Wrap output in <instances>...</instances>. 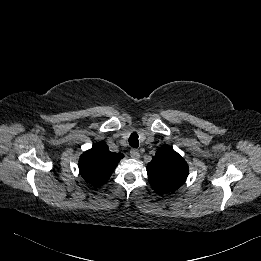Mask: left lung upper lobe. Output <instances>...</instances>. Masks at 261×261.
<instances>
[{"instance_id":"left-lung-upper-lobe-1","label":"left lung upper lobe","mask_w":261,"mask_h":261,"mask_svg":"<svg viewBox=\"0 0 261 261\" xmlns=\"http://www.w3.org/2000/svg\"><path fill=\"white\" fill-rule=\"evenodd\" d=\"M188 172L184 158L169 146L159 148L147 165L149 182L153 189L160 193L178 189L186 181Z\"/></svg>"}]
</instances>
